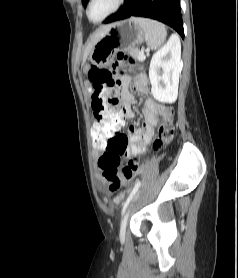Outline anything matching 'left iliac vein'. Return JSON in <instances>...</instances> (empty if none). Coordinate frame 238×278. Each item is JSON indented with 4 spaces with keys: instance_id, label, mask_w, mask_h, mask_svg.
I'll return each instance as SVG.
<instances>
[{
    "instance_id": "1",
    "label": "left iliac vein",
    "mask_w": 238,
    "mask_h": 278,
    "mask_svg": "<svg viewBox=\"0 0 238 278\" xmlns=\"http://www.w3.org/2000/svg\"><path fill=\"white\" fill-rule=\"evenodd\" d=\"M140 194H143V191H139L133 198H132V202L130 204V206L128 207L124 218L121 222V227H120V238H124L125 237V232H126V225H127V218H128V213L131 209V207L133 206V204L138 200Z\"/></svg>"
}]
</instances>
